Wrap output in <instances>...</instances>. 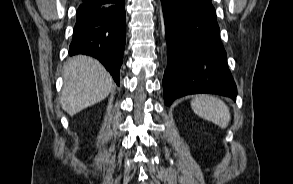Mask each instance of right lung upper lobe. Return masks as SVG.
I'll return each instance as SVG.
<instances>
[{"label":"right lung upper lobe","instance_id":"obj_1","mask_svg":"<svg viewBox=\"0 0 293 184\" xmlns=\"http://www.w3.org/2000/svg\"><path fill=\"white\" fill-rule=\"evenodd\" d=\"M83 4H91L95 6H106L110 4V1L112 0H82Z\"/></svg>","mask_w":293,"mask_h":184}]
</instances>
